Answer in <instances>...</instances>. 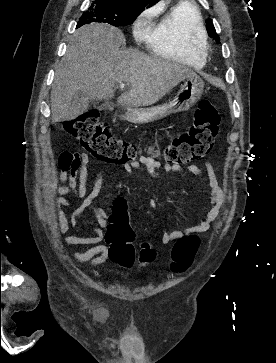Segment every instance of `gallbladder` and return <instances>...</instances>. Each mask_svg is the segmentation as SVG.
I'll return each mask as SVG.
<instances>
[{
	"label": "gallbladder",
	"mask_w": 276,
	"mask_h": 363,
	"mask_svg": "<svg viewBox=\"0 0 276 363\" xmlns=\"http://www.w3.org/2000/svg\"><path fill=\"white\" fill-rule=\"evenodd\" d=\"M90 103H95V101L86 99L82 95V93L76 94L72 98L71 104L69 106V112L71 114L70 120L75 119L76 117L87 111Z\"/></svg>",
	"instance_id": "1"
}]
</instances>
